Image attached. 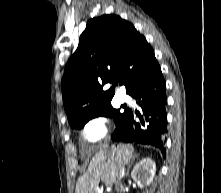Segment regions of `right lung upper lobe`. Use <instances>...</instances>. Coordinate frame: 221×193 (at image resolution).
Listing matches in <instances>:
<instances>
[{
	"mask_svg": "<svg viewBox=\"0 0 221 193\" xmlns=\"http://www.w3.org/2000/svg\"><path fill=\"white\" fill-rule=\"evenodd\" d=\"M155 61L153 49L130 22L112 14L89 20L62 78L69 123L111 104L115 81L129 94L134 80Z\"/></svg>",
	"mask_w": 221,
	"mask_h": 193,
	"instance_id": "right-lung-upper-lobe-1",
	"label": "right lung upper lobe"
}]
</instances>
